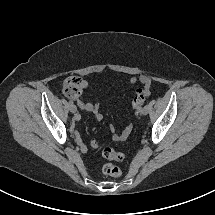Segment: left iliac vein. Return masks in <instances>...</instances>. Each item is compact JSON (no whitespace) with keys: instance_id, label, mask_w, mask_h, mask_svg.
<instances>
[{"instance_id":"obj_1","label":"left iliac vein","mask_w":215,"mask_h":215,"mask_svg":"<svg viewBox=\"0 0 215 215\" xmlns=\"http://www.w3.org/2000/svg\"><path fill=\"white\" fill-rule=\"evenodd\" d=\"M149 111V107L148 106H145L143 107V112H141L143 115H146Z\"/></svg>"}]
</instances>
